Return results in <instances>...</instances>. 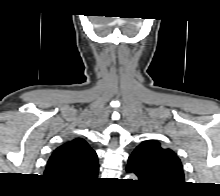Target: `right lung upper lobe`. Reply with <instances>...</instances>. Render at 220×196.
Returning a JSON list of instances; mask_svg holds the SVG:
<instances>
[{
  "mask_svg": "<svg viewBox=\"0 0 220 196\" xmlns=\"http://www.w3.org/2000/svg\"><path fill=\"white\" fill-rule=\"evenodd\" d=\"M98 170L95 151L85 140L76 138L53 152L44 176L55 182L79 185L95 179Z\"/></svg>",
  "mask_w": 220,
  "mask_h": 196,
  "instance_id": "right-lung-upper-lobe-1",
  "label": "right lung upper lobe"
}]
</instances>
